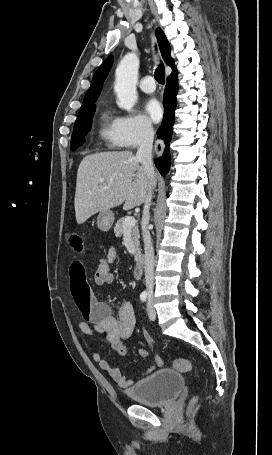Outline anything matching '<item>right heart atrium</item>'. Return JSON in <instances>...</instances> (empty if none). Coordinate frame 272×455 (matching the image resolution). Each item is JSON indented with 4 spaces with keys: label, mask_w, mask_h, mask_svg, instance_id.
I'll use <instances>...</instances> for the list:
<instances>
[{
    "label": "right heart atrium",
    "mask_w": 272,
    "mask_h": 455,
    "mask_svg": "<svg viewBox=\"0 0 272 455\" xmlns=\"http://www.w3.org/2000/svg\"><path fill=\"white\" fill-rule=\"evenodd\" d=\"M115 126L118 142L125 148H136L150 141L154 134L150 121L139 114L119 116Z\"/></svg>",
    "instance_id": "1"
}]
</instances>
